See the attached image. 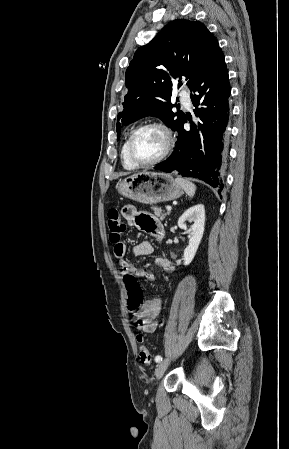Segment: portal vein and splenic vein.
<instances>
[{"label": "portal vein and splenic vein", "mask_w": 289, "mask_h": 449, "mask_svg": "<svg viewBox=\"0 0 289 449\" xmlns=\"http://www.w3.org/2000/svg\"><path fill=\"white\" fill-rule=\"evenodd\" d=\"M166 209H167V211H171L172 208H171V206H167Z\"/></svg>", "instance_id": "obj_1"}]
</instances>
